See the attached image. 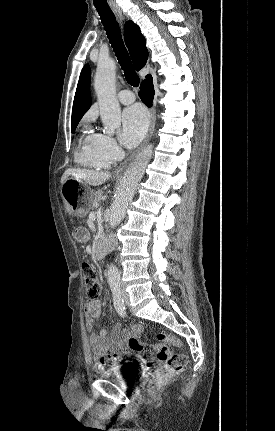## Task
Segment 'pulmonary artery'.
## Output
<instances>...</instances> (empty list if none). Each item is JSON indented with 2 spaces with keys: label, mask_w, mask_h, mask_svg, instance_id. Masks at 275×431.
I'll use <instances>...</instances> for the list:
<instances>
[{
  "label": "pulmonary artery",
  "mask_w": 275,
  "mask_h": 431,
  "mask_svg": "<svg viewBox=\"0 0 275 431\" xmlns=\"http://www.w3.org/2000/svg\"><path fill=\"white\" fill-rule=\"evenodd\" d=\"M118 100L125 105L135 101V96L130 90H122L118 93Z\"/></svg>",
  "instance_id": "1"
}]
</instances>
